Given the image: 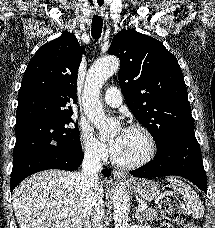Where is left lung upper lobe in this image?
Masks as SVG:
<instances>
[{
  "mask_svg": "<svg viewBox=\"0 0 215 228\" xmlns=\"http://www.w3.org/2000/svg\"><path fill=\"white\" fill-rule=\"evenodd\" d=\"M108 53L120 59L118 78L126 103L157 147L172 136L194 131L182 71L160 41L122 30L114 36Z\"/></svg>",
  "mask_w": 215,
  "mask_h": 228,
  "instance_id": "left-lung-upper-lobe-1",
  "label": "left lung upper lobe"
}]
</instances>
